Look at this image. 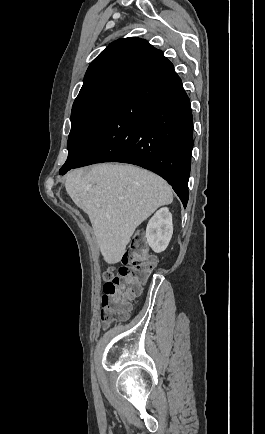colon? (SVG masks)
I'll return each mask as SVG.
<instances>
[{
    "instance_id": "colon-1",
    "label": "colon",
    "mask_w": 265,
    "mask_h": 434,
    "mask_svg": "<svg viewBox=\"0 0 265 434\" xmlns=\"http://www.w3.org/2000/svg\"><path fill=\"white\" fill-rule=\"evenodd\" d=\"M145 249L143 239L135 237L128 244L116 272L109 269L103 274L105 295L102 306L106 313L100 322L102 327H116L118 322L126 321V299L139 296L141 287L156 265L154 255L146 254Z\"/></svg>"
}]
</instances>
